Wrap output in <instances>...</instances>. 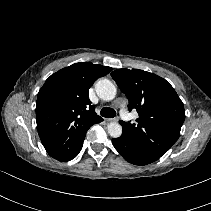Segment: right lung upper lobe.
Segmentation results:
<instances>
[{
	"label": "right lung upper lobe",
	"mask_w": 211,
	"mask_h": 211,
	"mask_svg": "<svg viewBox=\"0 0 211 211\" xmlns=\"http://www.w3.org/2000/svg\"><path fill=\"white\" fill-rule=\"evenodd\" d=\"M112 68L80 62L52 74L40 89L36 104L37 129L48 154L63 160L80 136L103 119L88 96L89 88Z\"/></svg>",
	"instance_id": "right-lung-upper-lobe-1"
}]
</instances>
